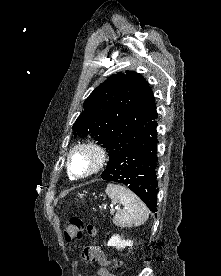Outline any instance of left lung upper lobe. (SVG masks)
I'll return each mask as SVG.
<instances>
[{"instance_id":"obj_1","label":"left lung upper lobe","mask_w":221,"mask_h":276,"mask_svg":"<svg viewBox=\"0 0 221 276\" xmlns=\"http://www.w3.org/2000/svg\"><path fill=\"white\" fill-rule=\"evenodd\" d=\"M156 118L148 82L140 74L126 71L110 76L94 89L73 130L75 136L98 141L111 157L132 143L143 127Z\"/></svg>"}]
</instances>
